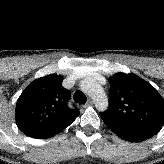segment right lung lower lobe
I'll list each match as a JSON object with an SVG mask.
<instances>
[{
    "label": "right lung lower lobe",
    "mask_w": 164,
    "mask_h": 164,
    "mask_svg": "<svg viewBox=\"0 0 164 164\" xmlns=\"http://www.w3.org/2000/svg\"><path fill=\"white\" fill-rule=\"evenodd\" d=\"M74 120H75V118L71 119V120H68V121H66V122H64L62 124H59L58 126H56L54 128H51L49 130L42 131V132L34 135L33 138H36V139H46V138L53 137L54 135H56L57 133L61 132L63 129H65L69 125H71Z\"/></svg>",
    "instance_id": "right-lung-lower-lobe-1"
}]
</instances>
